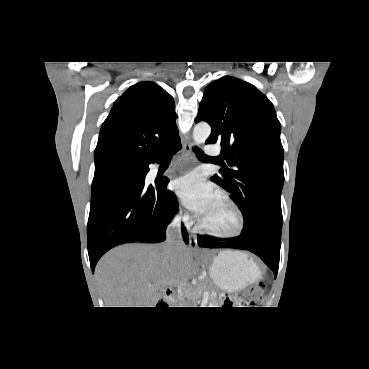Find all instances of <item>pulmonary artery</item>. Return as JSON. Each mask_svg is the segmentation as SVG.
I'll return each mask as SVG.
<instances>
[{"label": "pulmonary artery", "mask_w": 369, "mask_h": 369, "mask_svg": "<svg viewBox=\"0 0 369 369\" xmlns=\"http://www.w3.org/2000/svg\"><path fill=\"white\" fill-rule=\"evenodd\" d=\"M205 153L208 156H218L220 153V150L216 145H207L205 147Z\"/></svg>", "instance_id": "e3ab8cb5"}]
</instances>
